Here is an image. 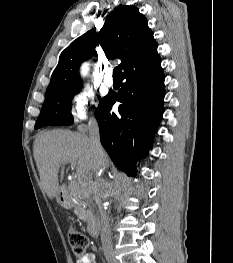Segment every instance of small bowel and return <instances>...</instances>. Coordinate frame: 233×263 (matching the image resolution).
<instances>
[{
	"label": "small bowel",
	"mask_w": 233,
	"mask_h": 263,
	"mask_svg": "<svg viewBox=\"0 0 233 263\" xmlns=\"http://www.w3.org/2000/svg\"><path fill=\"white\" fill-rule=\"evenodd\" d=\"M76 263H96L95 256L93 254H86L81 259L77 260Z\"/></svg>",
	"instance_id": "1"
}]
</instances>
